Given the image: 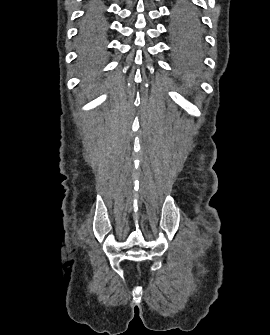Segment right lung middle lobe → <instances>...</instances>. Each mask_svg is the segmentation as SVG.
I'll list each match as a JSON object with an SVG mask.
<instances>
[{"label":"right lung middle lobe","instance_id":"obj_1","mask_svg":"<svg viewBox=\"0 0 270 335\" xmlns=\"http://www.w3.org/2000/svg\"><path fill=\"white\" fill-rule=\"evenodd\" d=\"M103 5L101 2H92L86 8V14L82 22V35L91 38L103 26Z\"/></svg>","mask_w":270,"mask_h":335}]
</instances>
